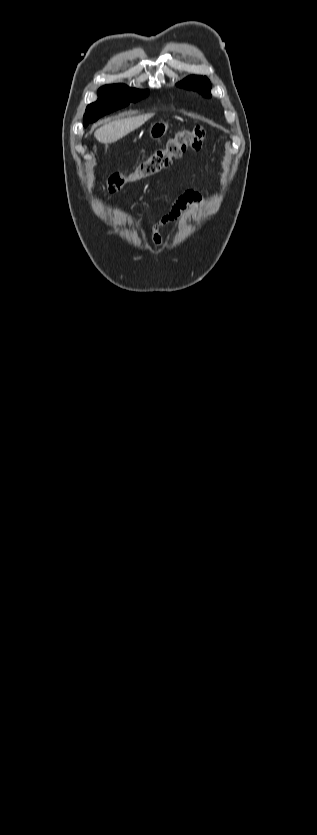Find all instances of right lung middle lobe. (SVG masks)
<instances>
[{
	"instance_id": "dd1d6c3e",
	"label": "right lung middle lobe",
	"mask_w": 317,
	"mask_h": 835,
	"mask_svg": "<svg viewBox=\"0 0 317 835\" xmlns=\"http://www.w3.org/2000/svg\"><path fill=\"white\" fill-rule=\"evenodd\" d=\"M148 95L147 90L129 88L123 84L105 85L98 90V100L89 104L84 114V127L101 116L136 102Z\"/></svg>"
}]
</instances>
